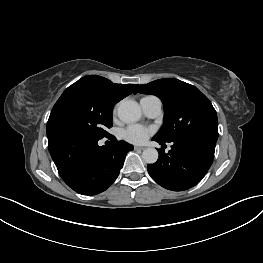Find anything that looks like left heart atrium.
I'll list each match as a JSON object with an SVG mask.
<instances>
[{"label": "left heart atrium", "mask_w": 263, "mask_h": 263, "mask_svg": "<svg viewBox=\"0 0 263 263\" xmlns=\"http://www.w3.org/2000/svg\"><path fill=\"white\" fill-rule=\"evenodd\" d=\"M151 134V130L141 125H130L123 131V138L133 144H141Z\"/></svg>", "instance_id": "left-heart-atrium-1"}]
</instances>
